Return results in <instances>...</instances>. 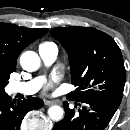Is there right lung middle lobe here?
Here are the masks:
<instances>
[{
  "instance_id": "obj_1",
  "label": "right lung middle lobe",
  "mask_w": 130,
  "mask_h": 130,
  "mask_svg": "<svg viewBox=\"0 0 130 130\" xmlns=\"http://www.w3.org/2000/svg\"><path fill=\"white\" fill-rule=\"evenodd\" d=\"M8 78H9L8 75L0 74V92L4 91V87L8 83Z\"/></svg>"
}]
</instances>
